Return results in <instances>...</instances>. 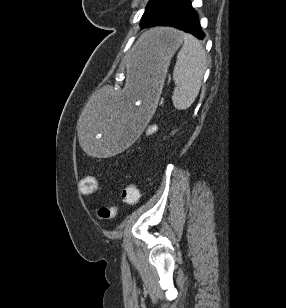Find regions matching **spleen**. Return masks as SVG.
I'll list each match as a JSON object with an SVG mask.
<instances>
[{"label":"spleen","mask_w":286,"mask_h":308,"mask_svg":"<svg viewBox=\"0 0 286 308\" xmlns=\"http://www.w3.org/2000/svg\"><path fill=\"white\" fill-rule=\"evenodd\" d=\"M184 41L173 71L175 89L172 102L177 110L188 109L195 101L206 70V53L192 35L182 33Z\"/></svg>","instance_id":"3e777b00"}]
</instances>
